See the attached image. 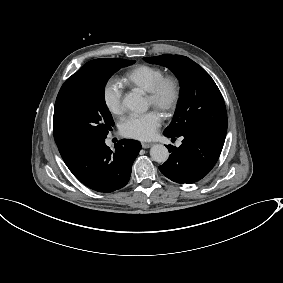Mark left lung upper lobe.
Here are the masks:
<instances>
[{
    "instance_id": "1",
    "label": "left lung upper lobe",
    "mask_w": 283,
    "mask_h": 283,
    "mask_svg": "<svg viewBox=\"0 0 283 283\" xmlns=\"http://www.w3.org/2000/svg\"><path fill=\"white\" fill-rule=\"evenodd\" d=\"M145 61L171 69L180 82V97L166 136L187 132H227L226 107L217 85L197 63L181 55L145 57Z\"/></svg>"
}]
</instances>
